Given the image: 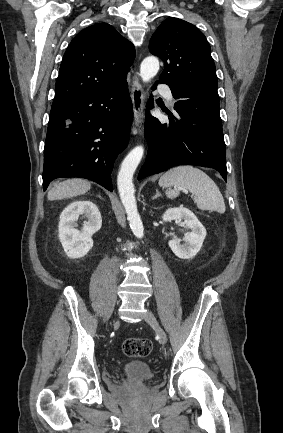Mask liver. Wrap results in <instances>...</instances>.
Masks as SVG:
<instances>
[{"label":"liver","instance_id":"1","mask_svg":"<svg viewBox=\"0 0 283 433\" xmlns=\"http://www.w3.org/2000/svg\"><path fill=\"white\" fill-rule=\"evenodd\" d=\"M89 188H91V184L88 180H82V178H69V180H63V182L55 184V186L49 190L47 196L48 200L72 198V196H78V194H85Z\"/></svg>","mask_w":283,"mask_h":433}]
</instances>
